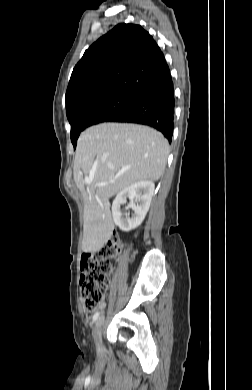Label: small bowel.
Returning <instances> with one entry per match:
<instances>
[{
	"label": "small bowel",
	"instance_id": "1",
	"mask_svg": "<svg viewBox=\"0 0 252 390\" xmlns=\"http://www.w3.org/2000/svg\"><path fill=\"white\" fill-rule=\"evenodd\" d=\"M105 304L102 302L99 308H104Z\"/></svg>",
	"mask_w": 252,
	"mask_h": 390
}]
</instances>
